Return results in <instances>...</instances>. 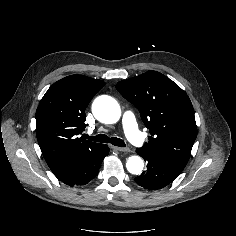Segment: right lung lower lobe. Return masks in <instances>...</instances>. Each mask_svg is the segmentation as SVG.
Returning a JSON list of instances; mask_svg holds the SVG:
<instances>
[{
  "mask_svg": "<svg viewBox=\"0 0 236 236\" xmlns=\"http://www.w3.org/2000/svg\"><path fill=\"white\" fill-rule=\"evenodd\" d=\"M108 154L109 148L104 144L89 151L75 153L66 161L63 169L54 175L68 186L87 184L96 177L103 159Z\"/></svg>",
  "mask_w": 236,
  "mask_h": 236,
  "instance_id": "1",
  "label": "right lung lower lobe"
}]
</instances>
